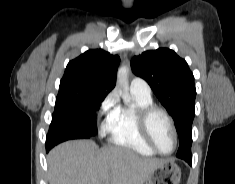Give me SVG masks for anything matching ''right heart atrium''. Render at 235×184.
I'll return each mask as SVG.
<instances>
[{
    "label": "right heart atrium",
    "mask_w": 235,
    "mask_h": 184,
    "mask_svg": "<svg viewBox=\"0 0 235 184\" xmlns=\"http://www.w3.org/2000/svg\"><path fill=\"white\" fill-rule=\"evenodd\" d=\"M119 107V97L116 91L110 92L100 103L96 115L97 134L100 138H104L111 132L115 113Z\"/></svg>",
    "instance_id": "d8ad5b80"
}]
</instances>
